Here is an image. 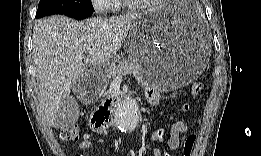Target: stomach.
<instances>
[{
    "instance_id": "stomach-1",
    "label": "stomach",
    "mask_w": 261,
    "mask_h": 156,
    "mask_svg": "<svg viewBox=\"0 0 261 156\" xmlns=\"http://www.w3.org/2000/svg\"><path fill=\"white\" fill-rule=\"evenodd\" d=\"M187 2L173 1L149 9L138 17L130 30L129 49L143 67L146 80L161 90L183 87L196 80L207 65L209 42L194 29L185 7ZM111 63L93 67L81 78L91 94L99 95L106 87Z\"/></svg>"
}]
</instances>
